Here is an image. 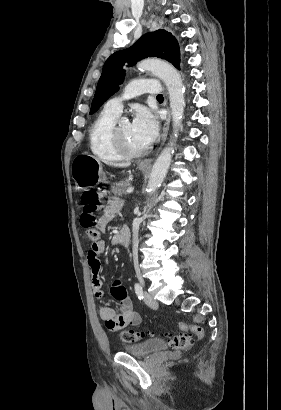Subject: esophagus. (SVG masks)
<instances>
[{"label":"esophagus","instance_id":"34e87169","mask_svg":"<svg viewBox=\"0 0 281 410\" xmlns=\"http://www.w3.org/2000/svg\"><path fill=\"white\" fill-rule=\"evenodd\" d=\"M167 118L166 121L164 123L163 126V132H162V137H161V145L160 148L158 149V151L161 149L162 145L164 144V142L166 141L167 135H168V130H169V125H170V120H171V114H170V110L167 108ZM152 163V159L148 158V159H144L139 163L140 167H150Z\"/></svg>","mask_w":281,"mask_h":410}]
</instances>
